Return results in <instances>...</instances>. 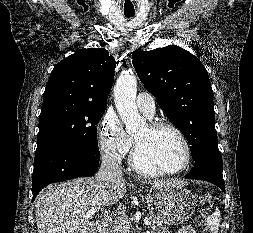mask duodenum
<instances>
[{
    "label": "duodenum",
    "mask_w": 253,
    "mask_h": 233,
    "mask_svg": "<svg viewBox=\"0 0 253 233\" xmlns=\"http://www.w3.org/2000/svg\"><path fill=\"white\" fill-rule=\"evenodd\" d=\"M112 218L110 215H104L100 218L98 226L95 228L94 233H106L107 228L109 227Z\"/></svg>",
    "instance_id": "duodenum-1"
}]
</instances>
